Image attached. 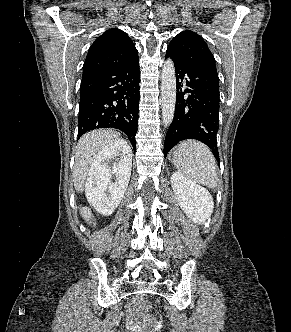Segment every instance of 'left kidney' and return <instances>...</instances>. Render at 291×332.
<instances>
[{
  "mask_svg": "<svg viewBox=\"0 0 291 332\" xmlns=\"http://www.w3.org/2000/svg\"><path fill=\"white\" fill-rule=\"evenodd\" d=\"M171 185L179 206L194 222L203 224L211 216L214 202L209 191L179 172L171 176Z\"/></svg>",
  "mask_w": 291,
  "mask_h": 332,
  "instance_id": "5707ae66",
  "label": "left kidney"
}]
</instances>
